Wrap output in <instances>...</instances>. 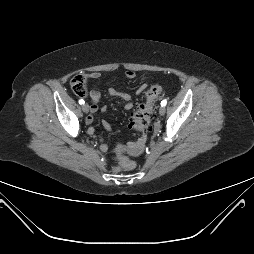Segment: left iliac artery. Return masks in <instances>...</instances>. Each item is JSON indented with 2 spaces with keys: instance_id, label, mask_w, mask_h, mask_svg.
Wrapping results in <instances>:
<instances>
[{
  "instance_id": "left-iliac-artery-1",
  "label": "left iliac artery",
  "mask_w": 254,
  "mask_h": 254,
  "mask_svg": "<svg viewBox=\"0 0 254 254\" xmlns=\"http://www.w3.org/2000/svg\"><path fill=\"white\" fill-rule=\"evenodd\" d=\"M166 104H167L166 99L162 100V102H161V106L165 107V106H166Z\"/></svg>"
}]
</instances>
